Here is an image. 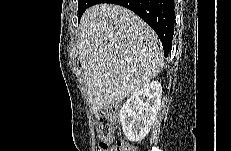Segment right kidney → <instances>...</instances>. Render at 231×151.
Wrapping results in <instances>:
<instances>
[{
  "label": "right kidney",
  "mask_w": 231,
  "mask_h": 151,
  "mask_svg": "<svg viewBox=\"0 0 231 151\" xmlns=\"http://www.w3.org/2000/svg\"><path fill=\"white\" fill-rule=\"evenodd\" d=\"M161 96V84L152 81L124 103L119 118L124 135L129 141H141L149 133L160 107Z\"/></svg>",
  "instance_id": "obj_1"
}]
</instances>
